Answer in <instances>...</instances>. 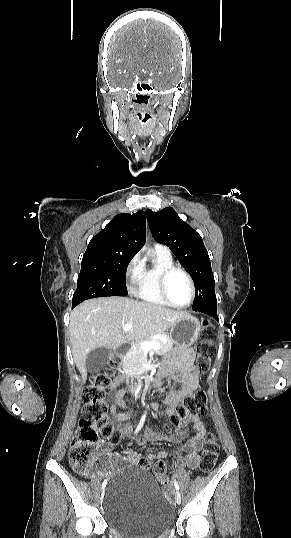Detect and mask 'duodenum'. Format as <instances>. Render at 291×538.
<instances>
[{
  "label": "duodenum",
  "mask_w": 291,
  "mask_h": 538,
  "mask_svg": "<svg viewBox=\"0 0 291 538\" xmlns=\"http://www.w3.org/2000/svg\"><path fill=\"white\" fill-rule=\"evenodd\" d=\"M117 351H118V353L120 355H126L130 351V348L122 346V347H119ZM142 377H143V374L141 372H132V373L128 374V377L126 378V381L128 382L127 386L129 388H132L129 391V394L131 396H134V397L139 396V394H140L139 389L144 388V386H145V383H144L145 378H142Z\"/></svg>",
  "instance_id": "1"
}]
</instances>
